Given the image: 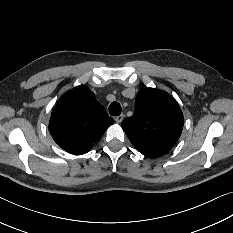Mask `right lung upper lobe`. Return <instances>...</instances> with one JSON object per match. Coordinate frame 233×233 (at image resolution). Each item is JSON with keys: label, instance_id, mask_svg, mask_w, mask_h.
<instances>
[{"label": "right lung upper lobe", "instance_id": "obj_1", "mask_svg": "<svg viewBox=\"0 0 233 233\" xmlns=\"http://www.w3.org/2000/svg\"><path fill=\"white\" fill-rule=\"evenodd\" d=\"M113 123L88 87L80 85L60 98L49 130L62 149L81 155L90 151Z\"/></svg>", "mask_w": 233, "mask_h": 233}]
</instances>
